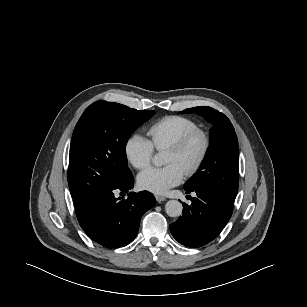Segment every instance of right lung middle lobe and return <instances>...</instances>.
<instances>
[{
	"instance_id": "1",
	"label": "right lung middle lobe",
	"mask_w": 307,
	"mask_h": 307,
	"mask_svg": "<svg viewBox=\"0 0 307 307\" xmlns=\"http://www.w3.org/2000/svg\"><path fill=\"white\" fill-rule=\"evenodd\" d=\"M154 114L153 110L106 101H97L85 110L70 145L68 184L74 205L128 179L127 141Z\"/></svg>"
}]
</instances>
